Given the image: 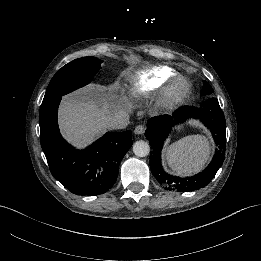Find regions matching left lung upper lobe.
<instances>
[{
	"mask_svg": "<svg viewBox=\"0 0 261 261\" xmlns=\"http://www.w3.org/2000/svg\"><path fill=\"white\" fill-rule=\"evenodd\" d=\"M211 93H213L212 87L209 85L208 82L204 81V87H203V89L201 91V94L202 95H207V94H211Z\"/></svg>",
	"mask_w": 261,
	"mask_h": 261,
	"instance_id": "obj_1",
	"label": "left lung upper lobe"
}]
</instances>
